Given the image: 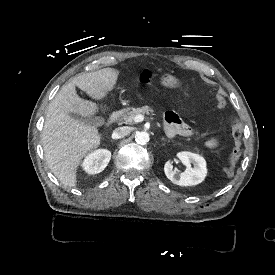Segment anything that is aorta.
<instances>
[{
  "instance_id": "obj_1",
  "label": "aorta",
  "mask_w": 275,
  "mask_h": 275,
  "mask_svg": "<svg viewBox=\"0 0 275 275\" xmlns=\"http://www.w3.org/2000/svg\"><path fill=\"white\" fill-rule=\"evenodd\" d=\"M135 140H136V142H137L138 144L145 145V144L148 143L149 140H150L149 133H147V132H145V131L138 132V133L136 134Z\"/></svg>"
}]
</instances>
